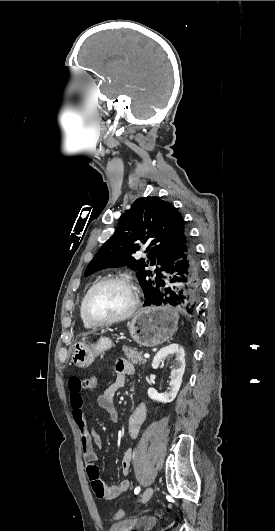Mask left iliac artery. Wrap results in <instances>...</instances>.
Instances as JSON below:
<instances>
[{"instance_id":"1","label":"left iliac artery","mask_w":275,"mask_h":531,"mask_svg":"<svg viewBox=\"0 0 275 531\" xmlns=\"http://www.w3.org/2000/svg\"><path fill=\"white\" fill-rule=\"evenodd\" d=\"M140 490H141L140 486H137L134 490V493L137 495L139 494Z\"/></svg>"}]
</instances>
